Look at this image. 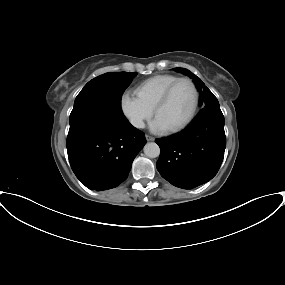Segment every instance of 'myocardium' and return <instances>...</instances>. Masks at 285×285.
Returning <instances> with one entry per match:
<instances>
[{
	"label": "myocardium",
	"instance_id": "f54148a6",
	"mask_svg": "<svg viewBox=\"0 0 285 285\" xmlns=\"http://www.w3.org/2000/svg\"><path fill=\"white\" fill-rule=\"evenodd\" d=\"M182 82H187L191 85L192 89H193V93H194V103H193V107L191 109L190 114L188 115V117L181 122L179 125L169 129L168 131L170 133H177L183 129H185L195 118L198 108H199V103H200V93H199V89L197 87V85L195 84V82L187 77H181L178 78L177 80H175L172 84H170L168 86V88L164 91V93L161 95V97L159 98V100L157 101V103L155 104L154 108H153V113L156 115L158 110L163 107L170 99L173 91L175 90V88Z\"/></svg>",
	"mask_w": 285,
	"mask_h": 285
}]
</instances>
